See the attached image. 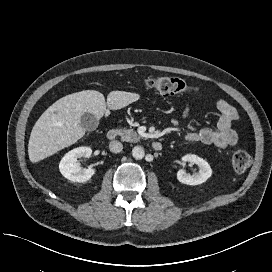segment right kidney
Wrapping results in <instances>:
<instances>
[{
  "mask_svg": "<svg viewBox=\"0 0 272 272\" xmlns=\"http://www.w3.org/2000/svg\"><path fill=\"white\" fill-rule=\"evenodd\" d=\"M92 154L90 147H78L69 151L60 161L59 170L61 174L73 182H86L96 172L94 168L81 169L80 164L77 162L78 158H88Z\"/></svg>",
  "mask_w": 272,
  "mask_h": 272,
  "instance_id": "1",
  "label": "right kidney"
}]
</instances>
